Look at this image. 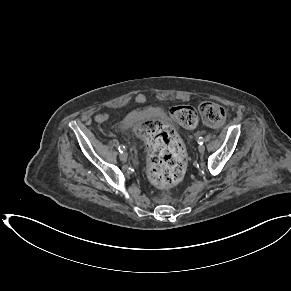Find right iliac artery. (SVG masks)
<instances>
[{"instance_id": "1", "label": "right iliac artery", "mask_w": 291, "mask_h": 291, "mask_svg": "<svg viewBox=\"0 0 291 291\" xmlns=\"http://www.w3.org/2000/svg\"><path fill=\"white\" fill-rule=\"evenodd\" d=\"M118 149H119V152H120V153H123V151H125V147H124V146H122V145H121V146H119V148H118Z\"/></svg>"}]
</instances>
